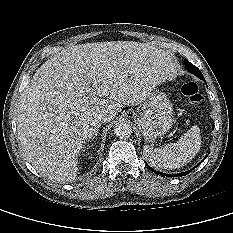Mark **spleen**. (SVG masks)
I'll return each instance as SVG.
<instances>
[{"mask_svg":"<svg viewBox=\"0 0 233 233\" xmlns=\"http://www.w3.org/2000/svg\"><path fill=\"white\" fill-rule=\"evenodd\" d=\"M201 147L200 129L192 126L177 142L162 148L143 147L147 161L157 169H175L189 163Z\"/></svg>","mask_w":233,"mask_h":233,"instance_id":"1","label":"spleen"}]
</instances>
